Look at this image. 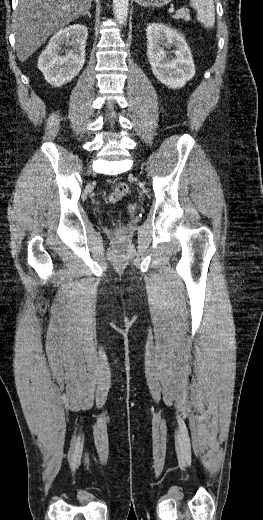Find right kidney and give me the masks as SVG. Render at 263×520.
I'll list each match as a JSON object with an SVG mask.
<instances>
[{
  "instance_id": "ca27d5eb",
  "label": "right kidney",
  "mask_w": 263,
  "mask_h": 520,
  "mask_svg": "<svg viewBox=\"0 0 263 520\" xmlns=\"http://www.w3.org/2000/svg\"><path fill=\"white\" fill-rule=\"evenodd\" d=\"M88 30L85 25L74 24L59 30L39 56L38 68L45 80L55 87L70 82L85 63V46ZM72 49L62 55V46Z\"/></svg>"
}]
</instances>
